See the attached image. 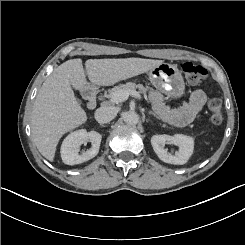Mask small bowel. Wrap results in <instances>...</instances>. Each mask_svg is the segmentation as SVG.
Wrapping results in <instances>:
<instances>
[{"mask_svg": "<svg viewBox=\"0 0 245 245\" xmlns=\"http://www.w3.org/2000/svg\"><path fill=\"white\" fill-rule=\"evenodd\" d=\"M150 99L156 112L164 120L175 126H185L200 117L207 97L202 89H196L191 93L187 102L176 108L166 105L162 94L158 91H152Z\"/></svg>", "mask_w": 245, "mask_h": 245, "instance_id": "c3829d8e", "label": "small bowel"}]
</instances>
